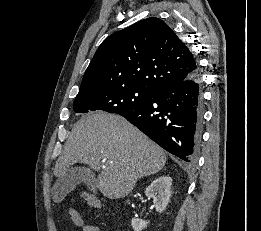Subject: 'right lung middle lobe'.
<instances>
[{
	"label": "right lung middle lobe",
	"instance_id": "right-lung-middle-lobe-1",
	"mask_svg": "<svg viewBox=\"0 0 261 231\" xmlns=\"http://www.w3.org/2000/svg\"><path fill=\"white\" fill-rule=\"evenodd\" d=\"M153 95V92L135 86L101 90L76 96L73 110L78 113L103 110L121 115L144 106Z\"/></svg>",
	"mask_w": 261,
	"mask_h": 231
}]
</instances>
